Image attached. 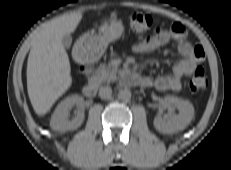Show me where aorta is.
Here are the masks:
<instances>
[{"label":"aorta","instance_id":"aorta-1","mask_svg":"<svg viewBox=\"0 0 231 170\" xmlns=\"http://www.w3.org/2000/svg\"><path fill=\"white\" fill-rule=\"evenodd\" d=\"M118 98L123 101H129L131 99V91L126 88L119 90Z\"/></svg>","mask_w":231,"mask_h":170}]
</instances>
